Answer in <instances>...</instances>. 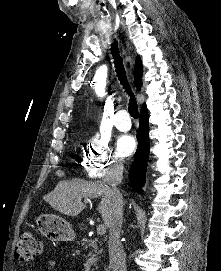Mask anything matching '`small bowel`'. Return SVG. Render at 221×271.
Listing matches in <instances>:
<instances>
[{
    "label": "small bowel",
    "instance_id": "c3829d8e",
    "mask_svg": "<svg viewBox=\"0 0 221 271\" xmlns=\"http://www.w3.org/2000/svg\"><path fill=\"white\" fill-rule=\"evenodd\" d=\"M56 266V262L53 259H49L46 264V270L47 271H53Z\"/></svg>",
    "mask_w": 221,
    "mask_h": 271
}]
</instances>
